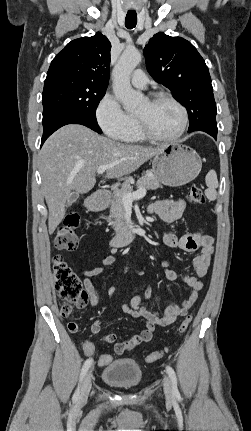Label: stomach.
I'll return each instance as SVG.
<instances>
[{
	"label": "stomach",
	"instance_id": "1",
	"mask_svg": "<svg viewBox=\"0 0 251 431\" xmlns=\"http://www.w3.org/2000/svg\"><path fill=\"white\" fill-rule=\"evenodd\" d=\"M202 162L199 155L182 144H168L153 159L152 172L162 184L170 187L185 185L200 173ZM88 209L100 211L108 206L103 195L90 198L86 202Z\"/></svg>",
	"mask_w": 251,
	"mask_h": 431
}]
</instances>
